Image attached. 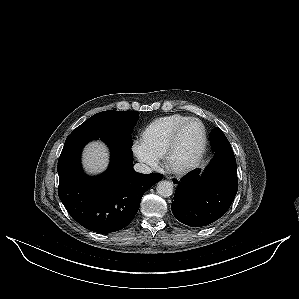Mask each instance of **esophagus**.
Returning a JSON list of instances; mask_svg holds the SVG:
<instances>
[{"instance_id":"esophagus-1","label":"esophagus","mask_w":299,"mask_h":299,"mask_svg":"<svg viewBox=\"0 0 299 299\" xmlns=\"http://www.w3.org/2000/svg\"><path fill=\"white\" fill-rule=\"evenodd\" d=\"M167 179L174 185V186H178L180 180L177 177H167Z\"/></svg>"}]
</instances>
